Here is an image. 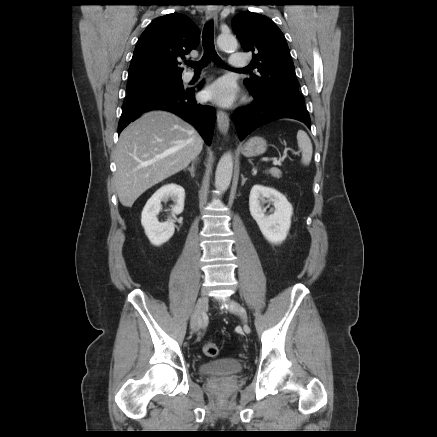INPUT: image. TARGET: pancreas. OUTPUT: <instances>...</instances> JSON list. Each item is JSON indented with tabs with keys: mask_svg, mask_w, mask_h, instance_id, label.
<instances>
[{
	"mask_svg": "<svg viewBox=\"0 0 437 437\" xmlns=\"http://www.w3.org/2000/svg\"><path fill=\"white\" fill-rule=\"evenodd\" d=\"M268 173H270L273 177L275 178H280L281 177V171L277 168H272L268 171Z\"/></svg>",
	"mask_w": 437,
	"mask_h": 437,
	"instance_id": "1",
	"label": "pancreas"
}]
</instances>
